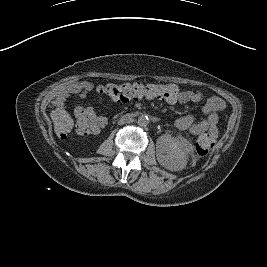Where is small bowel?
Masks as SVG:
<instances>
[{"label":"small bowel","mask_w":267,"mask_h":267,"mask_svg":"<svg viewBox=\"0 0 267 267\" xmlns=\"http://www.w3.org/2000/svg\"><path fill=\"white\" fill-rule=\"evenodd\" d=\"M94 87V84L88 81L74 83L66 89L64 96L75 94L84 98L92 93ZM180 92L179 99L173 103H203L202 113L206 115V118L197 122L195 116L189 114L177 119L174 123L175 127L181 131H189L194 135L207 132L216 138L218 136L219 113L225 108L224 101L215 96L206 97L199 90H180ZM63 105L64 100L59 98L56 101L57 110H63ZM78 112L81 113L83 118V122L77 120L76 124L77 132L80 134H98L106 125V119L98 116L92 107L76 106L74 114Z\"/></svg>","instance_id":"c3829d8e"}]
</instances>
